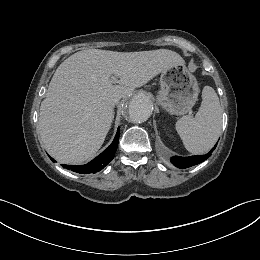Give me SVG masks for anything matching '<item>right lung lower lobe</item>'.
Listing matches in <instances>:
<instances>
[{
    "mask_svg": "<svg viewBox=\"0 0 260 260\" xmlns=\"http://www.w3.org/2000/svg\"><path fill=\"white\" fill-rule=\"evenodd\" d=\"M119 140V131H117L116 136L110 146L103 151L99 156L84 165H63L66 169H69L76 173L90 174L96 173L102 170L109 162L113 159L115 152L117 150Z\"/></svg>",
    "mask_w": 260,
    "mask_h": 260,
    "instance_id": "right-lung-lower-lobe-1",
    "label": "right lung lower lobe"
}]
</instances>
